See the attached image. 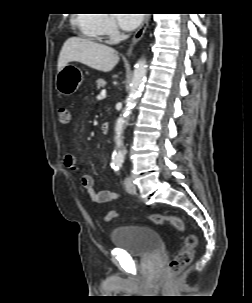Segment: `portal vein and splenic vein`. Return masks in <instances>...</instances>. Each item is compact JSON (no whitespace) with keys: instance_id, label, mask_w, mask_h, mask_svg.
Listing matches in <instances>:
<instances>
[{"instance_id":"1","label":"portal vein and splenic vein","mask_w":252,"mask_h":303,"mask_svg":"<svg viewBox=\"0 0 252 303\" xmlns=\"http://www.w3.org/2000/svg\"><path fill=\"white\" fill-rule=\"evenodd\" d=\"M105 97H106V90L103 89V90L100 92L98 98H99V99H103V98H105Z\"/></svg>"}]
</instances>
